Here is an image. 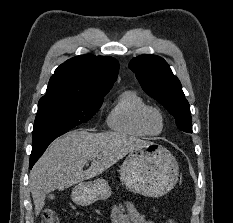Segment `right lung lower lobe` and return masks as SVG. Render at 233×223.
I'll list each match as a JSON object with an SVG mask.
<instances>
[{
  "label": "right lung lower lobe",
  "instance_id": "1",
  "mask_svg": "<svg viewBox=\"0 0 233 223\" xmlns=\"http://www.w3.org/2000/svg\"><path fill=\"white\" fill-rule=\"evenodd\" d=\"M43 154L42 153H36V154H31L30 156V169L33 167L35 162L40 158V156Z\"/></svg>",
  "mask_w": 233,
  "mask_h": 223
}]
</instances>
